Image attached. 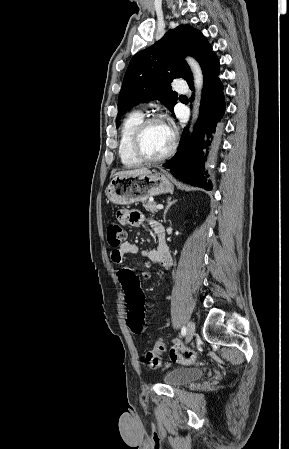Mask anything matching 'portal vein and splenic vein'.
Segmentation results:
<instances>
[{"label": "portal vein and splenic vein", "instance_id": "portal-vein-and-splenic-vein-1", "mask_svg": "<svg viewBox=\"0 0 289 449\" xmlns=\"http://www.w3.org/2000/svg\"><path fill=\"white\" fill-rule=\"evenodd\" d=\"M156 208L159 209V210H161V209H163L164 207H163L162 204H158V205L156 206Z\"/></svg>", "mask_w": 289, "mask_h": 449}]
</instances>
